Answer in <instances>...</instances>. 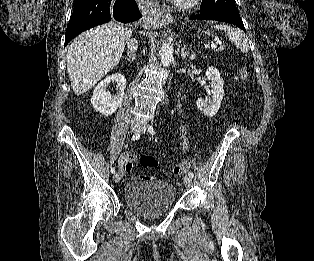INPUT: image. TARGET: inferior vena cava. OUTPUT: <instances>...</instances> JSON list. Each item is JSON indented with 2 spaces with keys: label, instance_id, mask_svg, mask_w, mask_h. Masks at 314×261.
<instances>
[{
  "label": "inferior vena cava",
  "instance_id": "1",
  "mask_svg": "<svg viewBox=\"0 0 314 261\" xmlns=\"http://www.w3.org/2000/svg\"><path fill=\"white\" fill-rule=\"evenodd\" d=\"M127 46L129 49V53L135 54V51L137 50V47H138V42L135 39H128Z\"/></svg>",
  "mask_w": 314,
  "mask_h": 261
}]
</instances>
